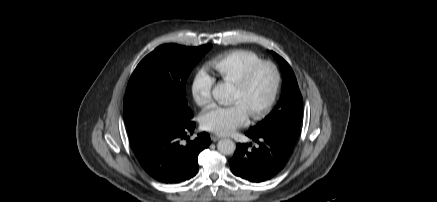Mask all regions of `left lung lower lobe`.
Masks as SVG:
<instances>
[{"instance_id": "1", "label": "left lung lower lobe", "mask_w": 437, "mask_h": 202, "mask_svg": "<svg viewBox=\"0 0 437 202\" xmlns=\"http://www.w3.org/2000/svg\"><path fill=\"white\" fill-rule=\"evenodd\" d=\"M256 146L239 143L230 160V168L234 175L250 182H262L280 172L292 150V146L279 136L247 131Z\"/></svg>"}]
</instances>
